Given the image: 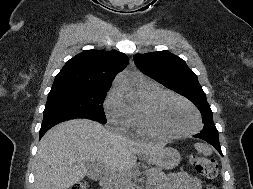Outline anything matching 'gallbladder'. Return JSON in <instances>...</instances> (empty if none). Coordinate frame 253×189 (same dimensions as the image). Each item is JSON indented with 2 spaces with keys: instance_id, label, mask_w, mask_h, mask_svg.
I'll use <instances>...</instances> for the list:
<instances>
[{
  "instance_id": "bac80fb5",
  "label": "gallbladder",
  "mask_w": 253,
  "mask_h": 189,
  "mask_svg": "<svg viewBox=\"0 0 253 189\" xmlns=\"http://www.w3.org/2000/svg\"><path fill=\"white\" fill-rule=\"evenodd\" d=\"M89 176H93L94 177V174H91V173H88Z\"/></svg>"
}]
</instances>
